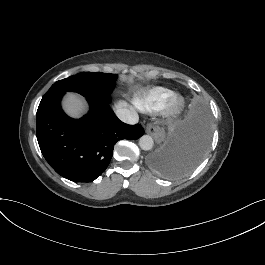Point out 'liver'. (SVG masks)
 Returning <instances> with one entry per match:
<instances>
[{
    "label": "liver",
    "mask_w": 265,
    "mask_h": 265,
    "mask_svg": "<svg viewBox=\"0 0 265 265\" xmlns=\"http://www.w3.org/2000/svg\"><path fill=\"white\" fill-rule=\"evenodd\" d=\"M62 105L65 112L73 118H80L87 111L86 104L82 101V99L78 95L74 93H68L64 97ZM124 107H128L126 101H119L116 105V108H124ZM131 110L134 109L131 107Z\"/></svg>",
    "instance_id": "liver-1"
}]
</instances>
